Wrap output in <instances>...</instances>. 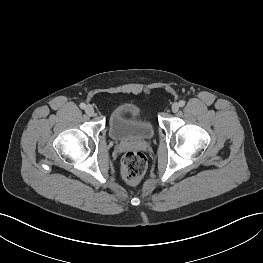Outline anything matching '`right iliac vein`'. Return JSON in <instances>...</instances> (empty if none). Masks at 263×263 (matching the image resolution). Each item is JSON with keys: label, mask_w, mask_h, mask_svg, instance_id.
Segmentation results:
<instances>
[{"label": "right iliac vein", "mask_w": 263, "mask_h": 263, "mask_svg": "<svg viewBox=\"0 0 263 263\" xmlns=\"http://www.w3.org/2000/svg\"><path fill=\"white\" fill-rule=\"evenodd\" d=\"M85 112L88 116H93L94 115V108L91 105H88L85 108Z\"/></svg>", "instance_id": "63e3f726"}]
</instances>
